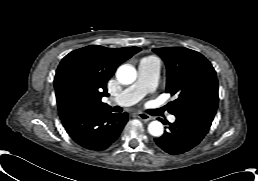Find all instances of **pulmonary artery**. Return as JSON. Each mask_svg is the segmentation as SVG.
<instances>
[{
    "mask_svg": "<svg viewBox=\"0 0 258 181\" xmlns=\"http://www.w3.org/2000/svg\"><path fill=\"white\" fill-rule=\"evenodd\" d=\"M160 70V61L156 57L142 58L138 65L137 81L123 90L111 102L121 106H130L139 102L144 96L154 91ZM171 122L175 116H170Z\"/></svg>",
    "mask_w": 258,
    "mask_h": 181,
    "instance_id": "pulmonary-artery-1",
    "label": "pulmonary artery"
}]
</instances>
